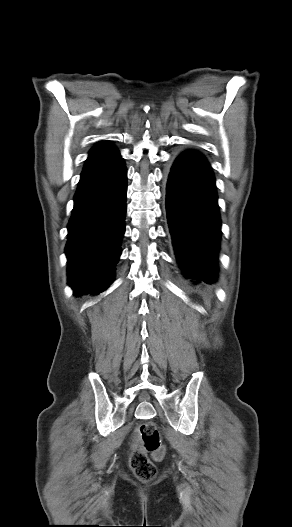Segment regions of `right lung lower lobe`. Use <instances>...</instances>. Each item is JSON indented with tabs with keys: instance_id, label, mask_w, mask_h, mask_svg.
Instances as JSON below:
<instances>
[{
	"instance_id": "1",
	"label": "right lung lower lobe",
	"mask_w": 292,
	"mask_h": 527,
	"mask_svg": "<svg viewBox=\"0 0 292 527\" xmlns=\"http://www.w3.org/2000/svg\"><path fill=\"white\" fill-rule=\"evenodd\" d=\"M127 170L118 150L100 142L89 153L68 224V283L75 295L113 282L125 233Z\"/></svg>"
}]
</instances>
